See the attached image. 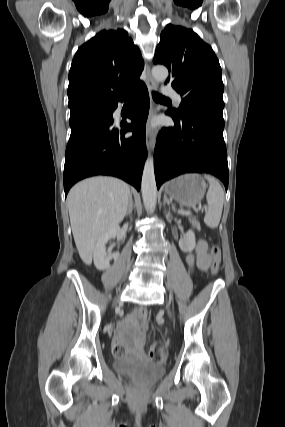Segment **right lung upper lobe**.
Wrapping results in <instances>:
<instances>
[{"mask_svg": "<svg viewBox=\"0 0 285 427\" xmlns=\"http://www.w3.org/2000/svg\"><path fill=\"white\" fill-rule=\"evenodd\" d=\"M143 69L141 52L125 30L99 32L72 61L67 91L71 113L126 97L142 83Z\"/></svg>", "mask_w": 285, "mask_h": 427, "instance_id": "cb5924a9", "label": "right lung upper lobe"}]
</instances>
